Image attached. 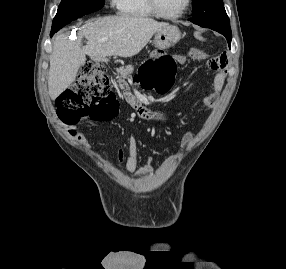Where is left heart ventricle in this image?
I'll return each mask as SVG.
<instances>
[{
    "label": "left heart ventricle",
    "mask_w": 286,
    "mask_h": 269,
    "mask_svg": "<svg viewBox=\"0 0 286 269\" xmlns=\"http://www.w3.org/2000/svg\"><path fill=\"white\" fill-rule=\"evenodd\" d=\"M186 0H157L159 8L166 14L178 13L184 6Z\"/></svg>",
    "instance_id": "b2bd125f"
}]
</instances>
